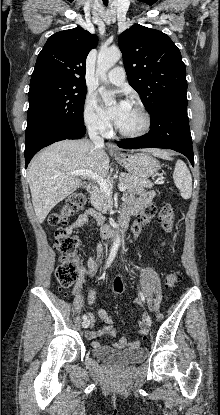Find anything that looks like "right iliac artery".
I'll return each instance as SVG.
<instances>
[{
	"mask_svg": "<svg viewBox=\"0 0 220 415\" xmlns=\"http://www.w3.org/2000/svg\"><path fill=\"white\" fill-rule=\"evenodd\" d=\"M117 250H118V245H114V246L112 247V249H111V252H110L109 258H108V260H107V263H106V268H107V267H109V266H110V264L112 263V261L114 260V258H115V256H116V253H117ZM82 318H83L84 320H86V319H87V315H86V314H84V315L82 316Z\"/></svg>",
	"mask_w": 220,
	"mask_h": 415,
	"instance_id": "right-iliac-artery-1",
	"label": "right iliac artery"
}]
</instances>
